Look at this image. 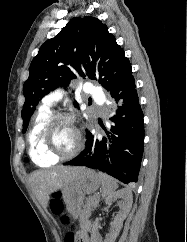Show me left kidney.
Instances as JSON below:
<instances>
[{"label":"left kidney","instance_id":"1","mask_svg":"<svg viewBox=\"0 0 187 242\" xmlns=\"http://www.w3.org/2000/svg\"><path fill=\"white\" fill-rule=\"evenodd\" d=\"M120 211L116 215L113 223L111 224L110 234L103 241L99 235V220L96 219L94 222L92 233H91V242H114L118 236L121 227L123 225L124 219L127 217L133 202L132 192L128 189H121L111 196L107 197L105 200L106 205H110L113 202L119 200Z\"/></svg>","mask_w":187,"mask_h":242}]
</instances>
